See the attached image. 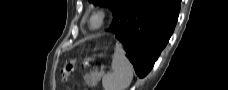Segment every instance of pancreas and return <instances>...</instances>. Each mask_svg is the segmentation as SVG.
Segmentation results:
<instances>
[{"mask_svg":"<svg viewBox=\"0 0 228 90\" xmlns=\"http://www.w3.org/2000/svg\"><path fill=\"white\" fill-rule=\"evenodd\" d=\"M97 78L96 77H92L90 80H87V83L90 85V86H94L95 84H97Z\"/></svg>","mask_w":228,"mask_h":90,"instance_id":"cf45deb5","label":"pancreas"}]
</instances>
